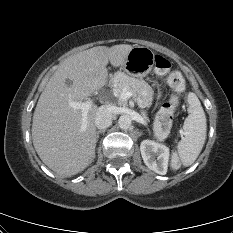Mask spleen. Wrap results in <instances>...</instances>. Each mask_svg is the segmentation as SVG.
Here are the masks:
<instances>
[{"label":"spleen","mask_w":233,"mask_h":233,"mask_svg":"<svg viewBox=\"0 0 233 233\" xmlns=\"http://www.w3.org/2000/svg\"><path fill=\"white\" fill-rule=\"evenodd\" d=\"M188 116L184 121V137L179 141L178 156L172 159L174 168H179V160L184 166L192 165L199 156L206 139V116L201 103L194 93L188 95Z\"/></svg>","instance_id":"3e777b00"}]
</instances>
